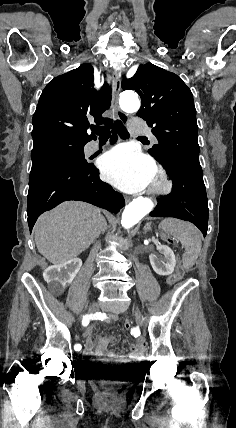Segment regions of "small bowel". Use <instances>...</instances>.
<instances>
[{"label": "small bowel", "instance_id": "1", "mask_svg": "<svg viewBox=\"0 0 236 428\" xmlns=\"http://www.w3.org/2000/svg\"><path fill=\"white\" fill-rule=\"evenodd\" d=\"M106 322H115L118 317L114 314H107L103 317ZM92 327L84 329L86 338L84 346V354L86 356L98 355L105 356L111 363L135 366L140 363L145 351V341L139 339L136 343L130 345V352L126 355H118L115 351H107L108 345L112 339L107 336H98L95 340L92 339Z\"/></svg>", "mask_w": 236, "mask_h": 428}]
</instances>
